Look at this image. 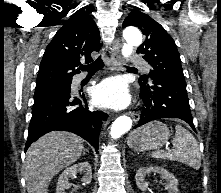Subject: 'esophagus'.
I'll list each match as a JSON object with an SVG mask.
<instances>
[{
    "label": "esophagus",
    "mask_w": 221,
    "mask_h": 193,
    "mask_svg": "<svg viewBox=\"0 0 221 193\" xmlns=\"http://www.w3.org/2000/svg\"><path fill=\"white\" fill-rule=\"evenodd\" d=\"M121 43L119 39H116L111 53L110 63L113 69L117 68L121 64V55H120ZM129 115L132 117L133 121L138 122L140 115L137 112H129Z\"/></svg>",
    "instance_id": "34e87169"
}]
</instances>
